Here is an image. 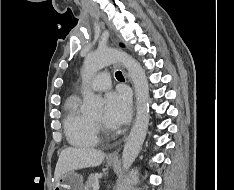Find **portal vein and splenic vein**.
Masks as SVG:
<instances>
[{
	"label": "portal vein and splenic vein",
	"instance_id": "18ae733b",
	"mask_svg": "<svg viewBox=\"0 0 234 190\" xmlns=\"http://www.w3.org/2000/svg\"><path fill=\"white\" fill-rule=\"evenodd\" d=\"M99 188H100V187H99V184H98V183H96V184L93 185V190H99Z\"/></svg>",
	"mask_w": 234,
	"mask_h": 190
}]
</instances>
